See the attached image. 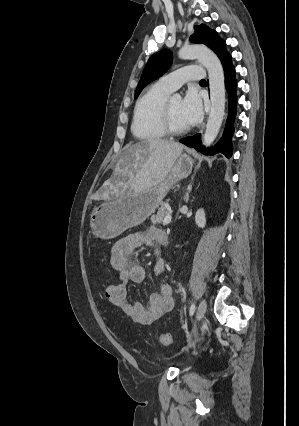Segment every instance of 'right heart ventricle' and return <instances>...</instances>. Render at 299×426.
Here are the masks:
<instances>
[{"label": "right heart ventricle", "mask_w": 299, "mask_h": 426, "mask_svg": "<svg viewBox=\"0 0 299 426\" xmlns=\"http://www.w3.org/2000/svg\"><path fill=\"white\" fill-rule=\"evenodd\" d=\"M170 93L171 91L156 82L149 86L137 100L131 126L132 133L137 139L156 141L165 137L160 114Z\"/></svg>", "instance_id": "obj_1"}]
</instances>
